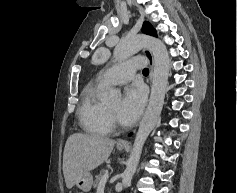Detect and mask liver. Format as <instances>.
I'll list each match as a JSON object with an SVG mask.
<instances>
[{"label":"liver","mask_w":237,"mask_h":193,"mask_svg":"<svg viewBox=\"0 0 237 193\" xmlns=\"http://www.w3.org/2000/svg\"><path fill=\"white\" fill-rule=\"evenodd\" d=\"M115 140L95 135L74 133L66 141L63 154V174L71 189L86 173L103 164L110 156Z\"/></svg>","instance_id":"obj_1"}]
</instances>
